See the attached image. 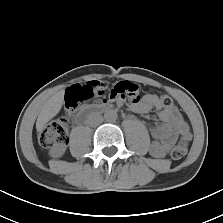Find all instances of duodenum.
I'll return each instance as SVG.
<instances>
[{
  "label": "duodenum",
  "mask_w": 223,
  "mask_h": 223,
  "mask_svg": "<svg viewBox=\"0 0 223 223\" xmlns=\"http://www.w3.org/2000/svg\"><path fill=\"white\" fill-rule=\"evenodd\" d=\"M111 109H112V106L109 105V104H101V105H97V106L92 107V108H86L79 115V119L77 120V122H85L94 113L99 112V111H108V110H111Z\"/></svg>",
  "instance_id": "410a0bca"
}]
</instances>
